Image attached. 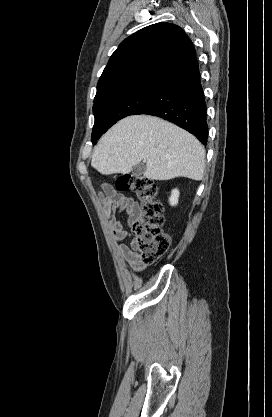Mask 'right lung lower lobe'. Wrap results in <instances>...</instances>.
I'll list each match as a JSON object with an SVG mask.
<instances>
[{
	"label": "right lung lower lobe",
	"mask_w": 272,
	"mask_h": 417,
	"mask_svg": "<svg viewBox=\"0 0 272 417\" xmlns=\"http://www.w3.org/2000/svg\"><path fill=\"white\" fill-rule=\"evenodd\" d=\"M135 114H149L171 121L206 145V103L197 60L187 64L163 82L150 100L133 115Z\"/></svg>",
	"instance_id": "98d812e1"
}]
</instances>
